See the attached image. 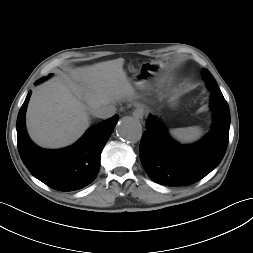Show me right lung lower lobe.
<instances>
[{"mask_svg":"<svg viewBox=\"0 0 253 253\" xmlns=\"http://www.w3.org/2000/svg\"><path fill=\"white\" fill-rule=\"evenodd\" d=\"M45 79L35 82L38 84ZM31 91L17 118L18 150L21 159L31 174L59 191H74L90 184L100 168L102 149L114 130L118 115L89 128L84 136L72 146L60 150H46L36 146L28 137L25 128V112Z\"/></svg>","mask_w":253,"mask_h":253,"instance_id":"98d812e1","label":"right lung lower lobe"}]
</instances>
